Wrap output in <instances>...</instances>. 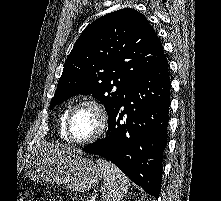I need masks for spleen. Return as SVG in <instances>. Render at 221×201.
Here are the masks:
<instances>
[{
	"label": "spleen",
	"instance_id": "obj_1",
	"mask_svg": "<svg viewBox=\"0 0 221 201\" xmlns=\"http://www.w3.org/2000/svg\"><path fill=\"white\" fill-rule=\"evenodd\" d=\"M103 174L102 201H121L130 188V182L123 172L105 159H97Z\"/></svg>",
	"mask_w": 221,
	"mask_h": 201
}]
</instances>
